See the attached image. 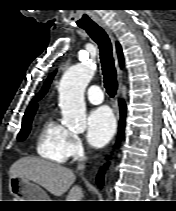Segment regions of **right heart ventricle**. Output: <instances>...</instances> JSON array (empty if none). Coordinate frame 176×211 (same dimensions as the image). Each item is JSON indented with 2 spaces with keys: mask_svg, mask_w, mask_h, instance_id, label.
Returning a JSON list of instances; mask_svg holds the SVG:
<instances>
[{
  "mask_svg": "<svg viewBox=\"0 0 176 211\" xmlns=\"http://www.w3.org/2000/svg\"><path fill=\"white\" fill-rule=\"evenodd\" d=\"M69 131L52 116L46 117L40 124L36 137L37 153L50 161L63 163L68 158L67 140Z\"/></svg>",
  "mask_w": 176,
  "mask_h": 211,
  "instance_id": "e07e8e85",
  "label": "right heart ventricle"
}]
</instances>
